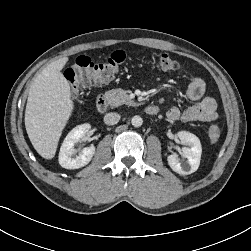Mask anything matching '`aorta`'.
<instances>
[{
	"instance_id": "aorta-1",
	"label": "aorta",
	"mask_w": 251,
	"mask_h": 251,
	"mask_svg": "<svg viewBox=\"0 0 251 251\" xmlns=\"http://www.w3.org/2000/svg\"><path fill=\"white\" fill-rule=\"evenodd\" d=\"M131 123L134 127H140L143 124V119L140 116L136 115L132 118Z\"/></svg>"
}]
</instances>
